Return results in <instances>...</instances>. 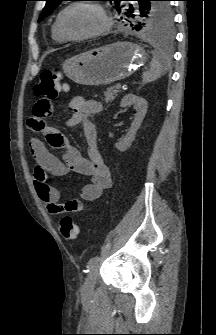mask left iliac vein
Masks as SVG:
<instances>
[{"label": "left iliac vein", "instance_id": "4c4485c4", "mask_svg": "<svg viewBox=\"0 0 216 335\" xmlns=\"http://www.w3.org/2000/svg\"><path fill=\"white\" fill-rule=\"evenodd\" d=\"M98 276V265L96 264L90 271L85 283L82 286V295L88 296L93 293Z\"/></svg>", "mask_w": 216, "mask_h": 335}]
</instances>
